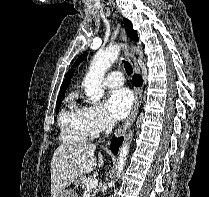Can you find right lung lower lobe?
I'll return each instance as SVG.
<instances>
[{
    "label": "right lung lower lobe",
    "mask_w": 209,
    "mask_h": 197,
    "mask_svg": "<svg viewBox=\"0 0 209 197\" xmlns=\"http://www.w3.org/2000/svg\"><path fill=\"white\" fill-rule=\"evenodd\" d=\"M133 82H135V85H137L142 82V79L133 77L132 84H133ZM122 141H123V137H120V138L113 137L112 138L111 150L113 153H115V154L118 153V149H119V146L121 145Z\"/></svg>",
    "instance_id": "right-lung-lower-lobe-1"
}]
</instances>
